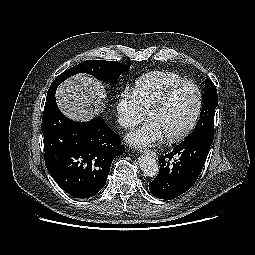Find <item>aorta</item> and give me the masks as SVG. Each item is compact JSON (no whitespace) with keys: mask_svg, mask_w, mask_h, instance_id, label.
I'll return each mask as SVG.
<instances>
[{"mask_svg":"<svg viewBox=\"0 0 255 255\" xmlns=\"http://www.w3.org/2000/svg\"><path fill=\"white\" fill-rule=\"evenodd\" d=\"M138 163L142 172L148 177H155L159 172V165L155 156L149 152L142 155Z\"/></svg>","mask_w":255,"mask_h":255,"instance_id":"obj_1","label":"aorta"}]
</instances>
